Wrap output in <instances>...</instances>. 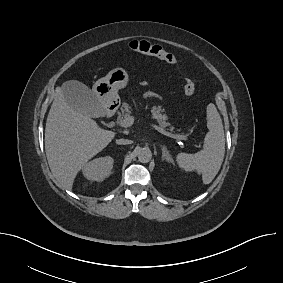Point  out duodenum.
<instances>
[{
	"instance_id": "obj_1",
	"label": "duodenum",
	"mask_w": 283,
	"mask_h": 283,
	"mask_svg": "<svg viewBox=\"0 0 283 283\" xmlns=\"http://www.w3.org/2000/svg\"><path fill=\"white\" fill-rule=\"evenodd\" d=\"M113 115V111L112 110H108L107 111V117H111Z\"/></svg>"
}]
</instances>
